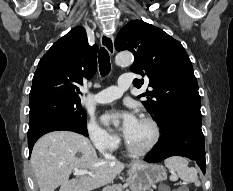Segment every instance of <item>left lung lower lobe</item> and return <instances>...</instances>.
<instances>
[{
  "label": "left lung lower lobe",
  "instance_id": "1",
  "mask_svg": "<svg viewBox=\"0 0 233 191\" xmlns=\"http://www.w3.org/2000/svg\"><path fill=\"white\" fill-rule=\"evenodd\" d=\"M162 132L160 141L145 160L156 163L171 156H184L195 160L205 174L204 135L201 130V119L181 117L169 121Z\"/></svg>",
  "mask_w": 233,
  "mask_h": 191
}]
</instances>
